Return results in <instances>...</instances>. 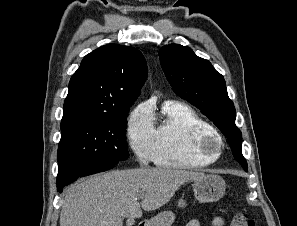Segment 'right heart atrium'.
<instances>
[{
  "instance_id": "d8ad5b80",
  "label": "right heart atrium",
  "mask_w": 297,
  "mask_h": 226,
  "mask_svg": "<svg viewBox=\"0 0 297 226\" xmlns=\"http://www.w3.org/2000/svg\"><path fill=\"white\" fill-rule=\"evenodd\" d=\"M130 149L142 164L154 159L155 130L149 107H135L129 115L126 132Z\"/></svg>"
}]
</instances>
